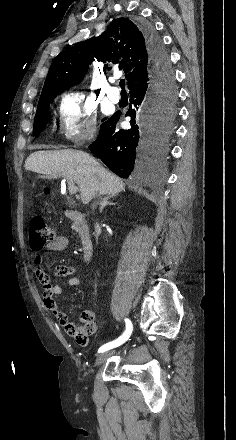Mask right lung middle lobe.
Instances as JSON below:
<instances>
[{"instance_id":"right-lung-middle-lobe-1","label":"right lung middle lobe","mask_w":236,"mask_h":440,"mask_svg":"<svg viewBox=\"0 0 236 440\" xmlns=\"http://www.w3.org/2000/svg\"><path fill=\"white\" fill-rule=\"evenodd\" d=\"M51 94L39 100L36 115L34 118L33 136L38 135L46 126L48 119L49 103L58 95ZM154 99L159 110L157 112L160 140L163 147L166 137L171 131V119L174 115V107L177 99V89L174 82H167L154 88ZM164 149V148H163ZM164 153V152H163ZM160 154L159 157H161Z\"/></svg>"}]
</instances>
